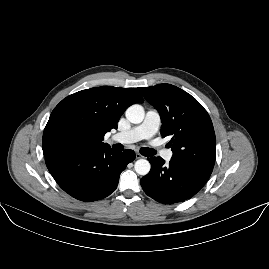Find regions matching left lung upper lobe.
<instances>
[{
    "label": "left lung upper lobe",
    "instance_id": "left-lung-upper-lobe-1",
    "mask_svg": "<svg viewBox=\"0 0 269 269\" xmlns=\"http://www.w3.org/2000/svg\"><path fill=\"white\" fill-rule=\"evenodd\" d=\"M144 98L158 110L162 136H172L171 160L212 172L216 138L207 111L190 94L170 85L138 88Z\"/></svg>",
    "mask_w": 269,
    "mask_h": 269
}]
</instances>
